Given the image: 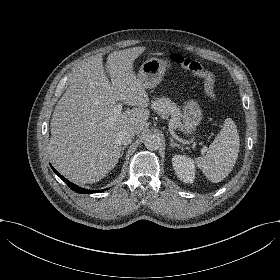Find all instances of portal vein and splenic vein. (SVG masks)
<instances>
[{
	"label": "portal vein and splenic vein",
	"mask_w": 280,
	"mask_h": 280,
	"mask_svg": "<svg viewBox=\"0 0 280 280\" xmlns=\"http://www.w3.org/2000/svg\"><path fill=\"white\" fill-rule=\"evenodd\" d=\"M111 119H112V118L109 117V118H107L106 120H111ZM171 127L174 128L173 125H171ZM203 148H204V147H203ZM204 150H207V148H204Z\"/></svg>",
	"instance_id": "obj_1"
}]
</instances>
